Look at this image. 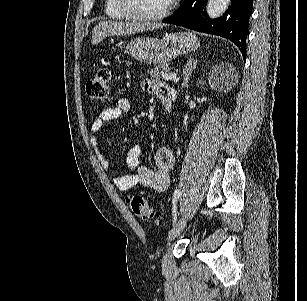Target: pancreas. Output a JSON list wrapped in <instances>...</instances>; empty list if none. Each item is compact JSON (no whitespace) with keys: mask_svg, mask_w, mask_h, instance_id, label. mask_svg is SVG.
<instances>
[{"mask_svg":"<svg viewBox=\"0 0 307 301\" xmlns=\"http://www.w3.org/2000/svg\"><path fill=\"white\" fill-rule=\"evenodd\" d=\"M163 72H167V74H169V72H171V68H169L167 64H158V66H155L153 70H150L149 74L154 76V78H164ZM164 80H167V78H164Z\"/></svg>","mask_w":307,"mask_h":301,"instance_id":"pancreas-1","label":"pancreas"}]
</instances>
